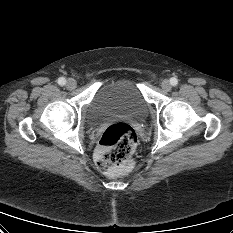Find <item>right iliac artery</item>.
Instances as JSON below:
<instances>
[{
	"label": "right iliac artery",
	"instance_id": "obj_1",
	"mask_svg": "<svg viewBox=\"0 0 233 233\" xmlns=\"http://www.w3.org/2000/svg\"><path fill=\"white\" fill-rule=\"evenodd\" d=\"M58 84L61 85V86L65 85L66 84V79L64 77H60L58 79Z\"/></svg>",
	"mask_w": 233,
	"mask_h": 233
}]
</instances>
